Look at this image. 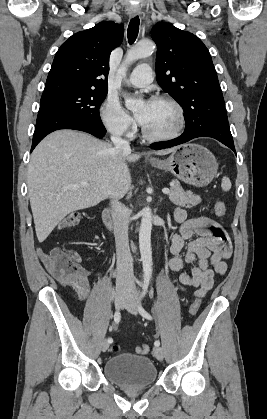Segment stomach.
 <instances>
[{
  "mask_svg": "<svg viewBox=\"0 0 267 419\" xmlns=\"http://www.w3.org/2000/svg\"><path fill=\"white\" fill-rule=\"evenodd\" d=\"M158 169L170 171L181 181L196 187L208 185L215 177L218 164L206 147L188 143L175 148L166 160H150Z\"/></svg>",
  "mask_w": 267,
  "mask_h": 419,
  "instance_id": "stomach-1",
  "label": "stomach"
}]
</instances>
